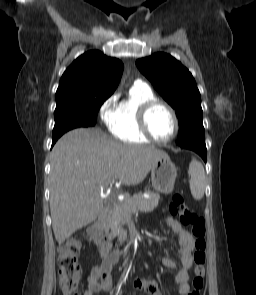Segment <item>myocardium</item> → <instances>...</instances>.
<instances>
[{
    "label": "myocardium",
    "instance_id": "myocardium-1",
    "mask_svg": "<svg viewBox=\"0 0 256 295\" xmlns=\"http://www.w3.org/2000/svg\"><path fill=\"white\" fill-rule=\"evenodd\" d=\"M164 107L167 109V111L172 116L173 122H174V130L172 135L167 139H158L156 138L153 133L151 132L150 126H149V114L155 107ZM138 123L140 130L142 133L152 142L157 144H167L171 142L177 135L179 131V120L178 116L175 112V110L166 102L159 100V99H153L150 101L145 102L139 109L138 112Z\"/></svg>",
    "mask_w": 256,
    "mask_h": 295
}]
</instances>
